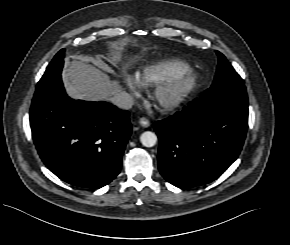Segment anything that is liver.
I'll return each mask as SVG.
<instances>
[{
    "label": "liver",
    "instance_id": "1",
    "mask_svg": "<svg viewBox=\"0 0 290 245\" xmlns=\"http://www.w3.org/2000/svg\"><path fill=\"white\" fill-rule=\"evenodd\" d=\"M62 77L67 91L76 99L99 101L121 92L118 81H111L107 74L83 60L67 62Z\"/></svg>",
    "mask_w": 290,
    "mask_h": 245
}]
</instances>
